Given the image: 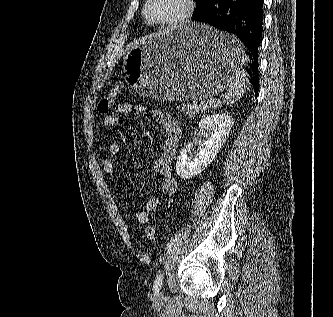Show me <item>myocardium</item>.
Returning <instances> with one entry per match:
<instances>
[{"mask_svg": "<svg viewBox=\"0 0 333 317\" xmlns=\"http://www.w3.org/2000/svg\"><path fill=\"white\" fill-rule=\"evenodd\" d=\"M152 0H146L143 8H142V15L145 21L152 26H159V27H178L184 24L188 19L192 16L194 12V1L193 0H179L181 5V9L177 15L170 19L159 20L150 17L148 13V8Z\"/></svg>", "mask_w": 333, "mask_h": 317, "instance_id": "obj_1", "label": "myocardium"}]
</instances>
